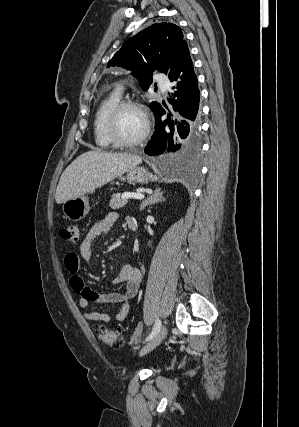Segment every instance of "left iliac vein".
<instances>
[{
    "mask_svg": "<svg viewBox=\"0 0 299 427\" xmlns=\"http://www.w3.org/2000/svg\"><path fill=\"white\" fill-rule=\"evenodd\" d=\"M166 335V325H162L158 333L141 349L140 355L143 356L155 349Z\"/></svg>",
    "mask_w": 299,
    "mask_h": 427,
    "instance_id": "obj_1",
    "label": "left iliac vein"
}]
</instances>
